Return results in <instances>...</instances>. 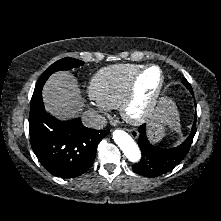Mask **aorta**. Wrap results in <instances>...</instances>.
I'll return each instance as SVG.
<instances>
[{
    "label": "aorta",
    "instance_id": "1",
    "mask_svg": "<svg viewBox=\"0 0 221 221\" xmlns=\"http://www.w3.org/2000/svg\"><path fill=\"white\" fill-rule=\"evenodd\" d=\"M113 139L129 161L138 162L140 160V149L127 132L119 129L115 130L113 132Z\"/></svg>",
    "mask_w": 221,
    "mask_h": 221
}]
</instances>
